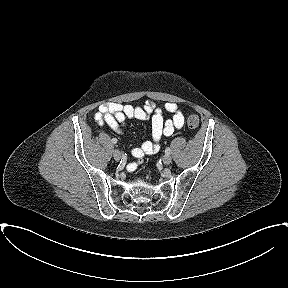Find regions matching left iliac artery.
Wrapping results in <instances>:
<instances>
[{
    "label": "left iliac artery",
    "instance_id": "44dca946",
    "mask_svg": "<svg viewBox=\"0 0 288 288\" xmlns=\"http://www.w3.org/2000/svg\"><path fill=\"white\" fill-rule=\"evenodd\" d=\"M170 152H171L170 148L167 147V148L165 149V154H166V155H170Z\"/></svg>",
    "mask_w": 288,
    "mask_h": 288
}]
</instances>
